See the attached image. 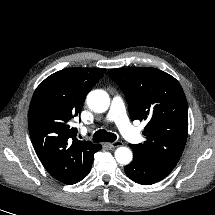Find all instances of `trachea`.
Here are the masks:
<instances>
[{
    "instance_id": "3493384b",
    "label": "trachea",
    "mask_w": 215,
    "mask_h": 215,
    "mask_svg": "<svg viewBox=\"0 0 215 215\" xmlns=\"http://www.w3.org/2000/svg\"><path fill=\"white\" fill-rule=\"evenodd\" d=\"M116 138L114 133L107 132L106 130H98L93 135L94 142H114Z\"/></svg>"
}]
</instances>
